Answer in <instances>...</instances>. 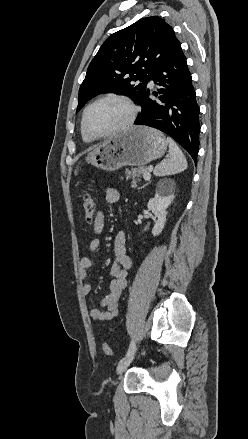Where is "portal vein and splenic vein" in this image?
<instances>
[{"label": "portal vein and splenic vein", "mask_w": 248, "mask_h": 439, "mask_svg": "<svg viewBox=\"0 0 248 439\" xmlns=\"http://www.w3.org/2000/svg\"><path fill=\"white\" fill-rule=\"evenodd\" d=\"M150 178H151V174H150V172H147V171H146V172L144 173V179H145V180H149Z\"/></svg>", "instance_id": "obj_1"}]
</instances>
